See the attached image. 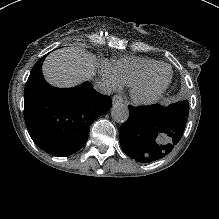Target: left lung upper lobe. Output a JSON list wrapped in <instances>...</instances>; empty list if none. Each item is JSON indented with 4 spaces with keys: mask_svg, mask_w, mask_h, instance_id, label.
<instances>
[{
    "mask_svg": "<svg viewBox=\"0 0 219 219\" xmlns=\"http://www.w3.org/2000/svg\"><path fill=\"white\" fill-rule=\"evenodd\" d=\"M169 108H172V109L188 116L189 107H188V101H186V100H184L182 102H177V103H174V104H170Z\"/></svg>",
    "mask_w": 219,
    "mask_h": 219,
    "instance_id": "5c2ea615",
    "label": "left lung upper lobe"
}]
</instances>
